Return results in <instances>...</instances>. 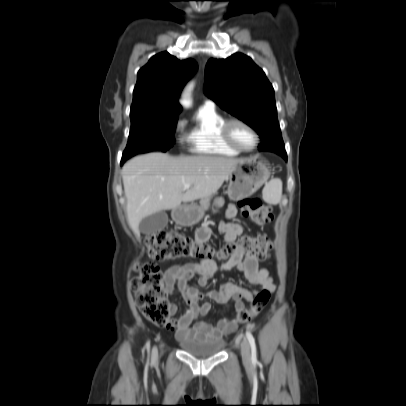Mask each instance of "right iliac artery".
<instances>
[{
	"label": "right iliac artery",
	"instance_id": "82829eb1",
	"mask_svg": "<svg viewBox=\"0 0 406 406\" xmlns=\"http://www.w3.org/2000/svg\"><path fill=\"white\" fill-rule=\"evenodd\" d=\"M146 348H147V350L149 351V342H147Z\"/></svg>",
	"mask_w": 406,
	"mask_h": 406
}]
</instances>
